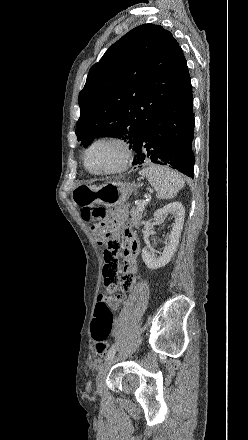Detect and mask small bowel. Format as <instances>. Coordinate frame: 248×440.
<instances>
[{
	"mask_svg": "<svg viewBox=\"0 0 248 440\" xmlns=\"http://www.w3.org/2000/svg\"><path fill=\"white\" fill-rule=\"evenodd\" d=\"M127 211L125 208H119L114 214L115 226L123 229L126 239L124 251V275L121 276V258L120 257H103L102 259V282L106 289V294L99 295L98 303H106L112 310H118L124 299V294L117 295L120 285L125 290L131 287L133 280L138 279L139 271L137 265V255L140 250V242L129 225L126 224Z\"/></svg>",
	"mask_w": 248,
	"mask_h": 440,
	"instance_id": "1",
	"label": "small bowel"
}]
</instances>
